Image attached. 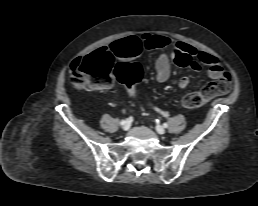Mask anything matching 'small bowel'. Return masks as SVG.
Wrapping results in <instances>:
<instances>
[{
	"label": "small bowel",
	"instance_id": "1",
	"mask_svg": "<svg viewBox=\"0 0 258 206\" xmlns=\"http://www.w3.org/2000/svg\"><path fill=\"white\" fill-rule=\"evenodd\" d=\"M171 47V54L166 49ZM142 50H161L155 62V76L160 83L166 82L171 73V61L181 67H188L194 71H200L203 66L208 67V75L213 80H218L224 75V70L219 59L207 52L200 51L192 45L176 41L164 35L144 33L141 36H127L113 42L109 47H102L98 51L110 54L111 56L129 58L137 56ZM190 79L187 76L180 78L178 87H188ZM112 87L108 84L105 88ZM162 115H166L164 112Z\"/></svg>",
	"mask_w": 258,
	"mask_h": 206
}]
</instances>
